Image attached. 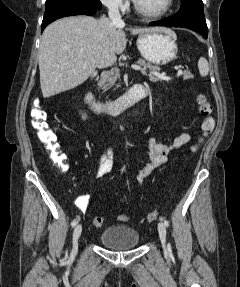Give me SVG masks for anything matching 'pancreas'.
I'll return each instance as SVG.
<instances>
[{
    "instance_id": "1",
    "label": "pancreas",
    "mask_w": 240,
    "mask_h": 287,
    "mask_svg": "<svg viewBox=\"0 0 240 287\" xmlns=\"http://www.w3.org/2000/svg\"><path fill=\"white\" fill-rule=\"evenodd\" d=\"M136 63L143 67L142 74L148 76L149 80L151 82L155 83L157 81H162V79H160L158 76L155 75V73L159 72V70H160L159 67L153 66L151 63H148L143 59H138V61ZM118 78H119V71L118 70L108 71L101 76V79H100L98 85L102 89L105 90L108 87H112ZM191 78H193V75L191 74L190 71H185L183 73V79L184 80L191 79Z\"/></svg>"
}]
</instances>
